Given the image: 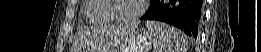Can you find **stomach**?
Instances as JSON below:
<instances>
[{"mask_svg": "<svg viewBox=\"0 0 261 52\" xmlns=\"http://www.w3.org/2000/svg\"><path fill=\"white\" fill-rule=\"evenodd\" d=\"M119 31L118 38L112 50L116 52H149L153 45L151 35L146 30L127 32L114 27Z\"/></svg>", "mask_w": 261, "mask_h": 52, "instance_id": "stomach-1", "label": "stomach"}]
</instances>
